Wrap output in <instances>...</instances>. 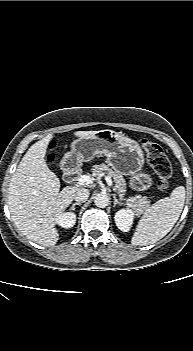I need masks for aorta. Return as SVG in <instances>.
<instances>
[{"mask_svg": "<svg viewBox=\"0 0 193 351\" xmlns=\"http://www.w3.org/2000/svg\"><path fill=\"white\" fill-rule=\"evenodd\" d=\"M94 203L99 208H105L109 204V198L104 193H99L95 196Z\"/></svg>", "mask_w": 193, "mask_h": 351, "instance_id": "aorta-1", "label": "aorta"}]
</instances>
